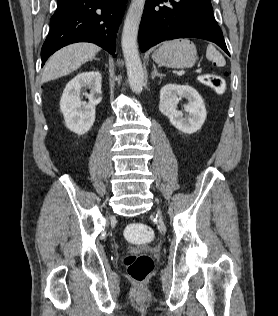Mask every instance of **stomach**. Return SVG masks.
Returning <instances> with one entry per match:
<instances>
[{"label": "stomach", "instance_id": "0dacf381", "mask_svg": "<svg viewBox=\"0 0 278 316\" xmlns=\"http://www.w3.org/2000/svg\"><path fill=\"white\" fill-rule=\"evenodd\" d=\"M152 59L159 65L183 69L192 67L197 59L195 45L187 39L165 42L152 54Z\"/></svg>", "mask_w": 278, "mask_h": 316}]
</instances>
